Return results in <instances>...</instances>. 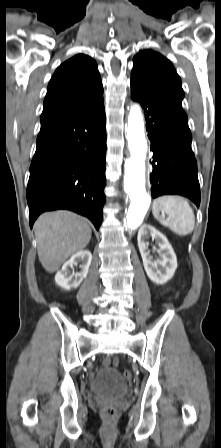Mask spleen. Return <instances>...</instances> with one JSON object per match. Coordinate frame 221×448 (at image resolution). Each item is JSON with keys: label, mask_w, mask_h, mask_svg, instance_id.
<instances>
[{"label": "spleen", "mask_w": 221, "mask_h": 448, "mask_svg": "<svg viewBox=\"0 0 221 448\" xmlns=\"http://www.w3.org/2000/svg\"><path fill=\"white\" fill-rule=\"evenodd\" d=\"M160 212L168 216L164 219ZM152 213L154 217L165 227H168L177 235L190 234L195 227L194 211L187 200L179 196L166 195L153 201Z\"/></svg>", "instance_id": "1"}]
</instances>
